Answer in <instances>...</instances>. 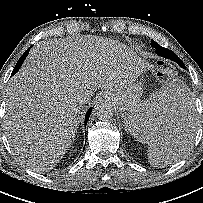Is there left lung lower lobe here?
<instances>
[{"mask_svg":"<svg viewBox=\"0 0 203 203\" xmlns=\"http://www.w3.org/2000/svg\"><path fill=\"white\" fill-rule=\"evenodd\" d=\"M158 49H156V53L161 56V57H165L168 58L170 60H173L175 62H177L178 64L181 65V67L185 68L183 63L180 62V60H178L177 56L170 50L163 48L161 46L157 47Z\"/></svg>","mask_w":203,"mask_h":203,"instance_id":"obj_1","label":"left lung lower lobe"}]
</instances>
